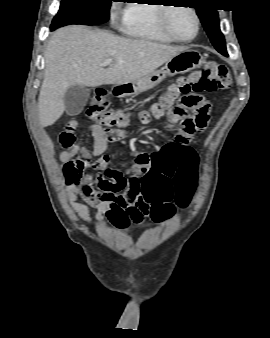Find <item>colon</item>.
Segmentation results:
<instances>
[{"label":"colon","mask_w":270,"mask_h":338,"mask_svg":"<svg viewBox=\"0 0 270 338\" xmlns=\"http://www.w3.org/2000/svg\"><path fill=\"white\" fill-rule=\"evenodd\" d=\"M232 86L233 80L228 68L223 64L208 62L202 70L177 78L158 102L151 106L149 112L138 120L145 122L151 118H160L165 112L173 118L183 116V133L178 134L174 141L163 147L160 154L174 152L179 146L188 142L184 133L195 137L207 124V107L202 104L198 94L229 90ZM181 95L183 98L179 100L180 105H176ZM108 103V95L100 91L90 99L86 114L92 121L107 128L108 132H111L112 128H117L113 132L118 133L124 118L118 111H108ZM188 110H192L194 114L190 115ZM158 137L161 135L159 134ZM133 170L135 175L129 178L120 172L110 171L108 180L103 184L117 205L110 221L118 227L126 226L129 221L140 223L150 214L160 220L169 216L171 212L168 206H150L144 201L143 195L149 192V170L141 167V159L138 157L134 159ZM63 174L66 185L76 183L82 174L81 164L77 160L67 162ZM191 193L190 185L186 190L179 189L175 201L179 206L184 207L188 204Z\"/></svg>","instance_id":"5ec220e1"}]
</instances>
